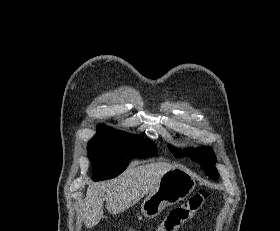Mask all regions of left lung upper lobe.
Masks as SVG:
<instances>
[{"mask_svg":"<svg viewBox=\"0 0 280 231\" xmlns=\"http://www.w3.org/2000/svg\"><path fill=\"white\" fill-rule=\"evenodd\" d=\"M168 147L170 151L173 152L177 157H181L182 155H190L194 161H200L204 172L210 178L214 180L219 178V174L215 168L216 157L211 148L200 147L195 150L188 149L185 152H181L170 145H168Z\"/></svg>","mask_w":280,"mask_h":231,"instance_id":"left-lung-upper-lobe-1","label":"left lung upper lobe"}]
</instances>
